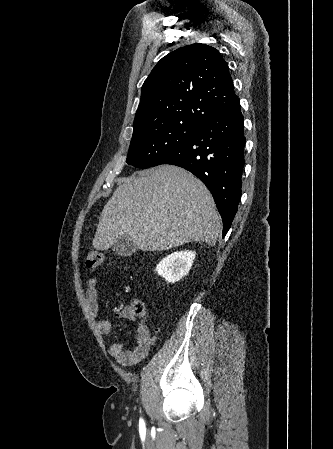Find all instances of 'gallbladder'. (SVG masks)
I'll return each instance as SVG.
<instances>
[{
    "instance_id": "1",
    "label": "gallbladder",
    "mask_w": 333,
    "mask_h": 449,
    "mask_svg": "<svg viewBox=\"0 0 333 449\" xmlns=\"http://www.w3.org/2000/svg\"><path fill=\"white\" fill-rule=\"evenodd\" d=\"M137 246L127 237H121L114 245L113 251L120 256H129L136 252Z\"/></svg>"
}]
</instances>
